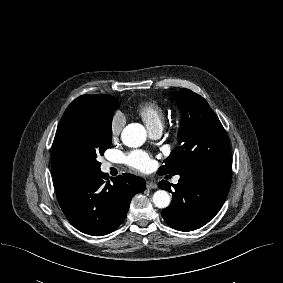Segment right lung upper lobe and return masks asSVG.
<instances>
[{"mask_svg":"<svg viewBox=\"0 0 283 283\" xmlns=\"http://www.w3.org/2000/svg\"><path fill=\"white\" fill-rule=\"evenodd\" d=\"M111 96H106V95H101V94H96V95H83L75 99L69 106L68 108L72 107H88L94 103H102L106 100L111 99ZM116 98V97H115ZM55 182V189L56 191H60L66 187H68L71 184H62L59 180L54 178Z\"/></svg>","mask_w":283,"mask_h":283,"instance_id":"1","label":"right lung upper lobe"}]
</instances>
